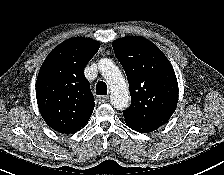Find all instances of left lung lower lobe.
<instances>
[{"mask_svg":"<svg viewBox=\"0 0 224 175\" xmlns=\"http://www.w3.org/2000/svg\"><path fill=\"white\" fill-rule=\"evenodd\" d=\"M127 126L130 127L131 129H133L137 132H141V133L152 132L158 128V127H140V126H133V125H128V124H127Z\"/></svg>","mask_w":224,"mask_h":175,"instance_id":"obj_1","label":"left lung lower lobe"}]
</instances>
